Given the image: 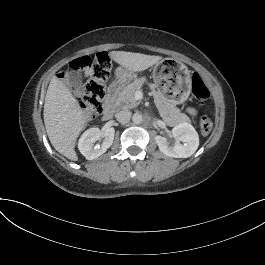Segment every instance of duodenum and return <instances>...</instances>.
<instances>
[{"mask_svg":"<svg viewBox=\"0 0 265 265\" xmlns=\"http://www.w3.org/2000/svg\"><path fill=\"white\" fill-rule=\"evenodd\" d=\"M125 80L120 78L113 81L107 92L106 100H105V107L103 111V117L105 119H110L113 117L115 110H116V99L119 91L123 87Z\"/></svg>","mask_w":265,"mask_h":265,"instance_id":"duodenum-1","label":"duodenum"}]
</instances>
